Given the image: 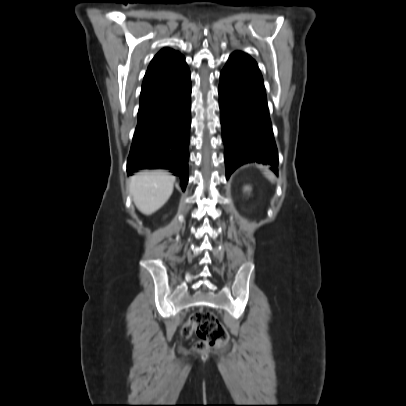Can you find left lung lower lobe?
<instances>
[{
    "mask_svg": "<svg viewBox=\"0 0 406 406\" xmlns=\"http://www.w3.org/2000/svg\"><path fill=\"white\" fill-rule=\"evenodd\" d=\"M218 92L226 178L250 162L277 166L265 87L255 60L234 52L221 71Z\"/></svg>",
    "mask_w": 406,
    "mask_h": 406,
    "instance_id": "0a47b994",
    "label": "left lung lower lobe"
}]
</instances>
